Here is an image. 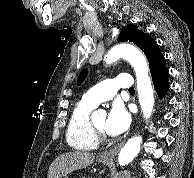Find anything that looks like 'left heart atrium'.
<instances>
[{
    "mask_svg": "<svg viewBox=\"0 0 194 178\" xmlns=\"http://www.w3.org/2000/svg\"><path fill=\"white\" fill-rule=\"evenodd\" d=\"M131 117L125 107L115 103L106 118L104 130L111 136H118L124 133L130 126Z\"/></svg>",
    "mask_w": 194,
    "mask_h": 178,
    "instance_id": "1",
    "label": "left heart atrium"
}]
</instances>
